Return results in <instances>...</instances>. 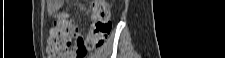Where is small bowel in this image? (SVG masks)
Returning <instances> with one entry per match:
<instances>
[{"label": "small bowel", "instance_id": "c3829d8e", "mask_svg": "<svg viewBox=\"0 0 225 58\" xmlns=\"http://www.w3.org/2000/svg\"><path fill=\"white\" fill-rule=\"evenodd\" d=\"M61 6V2L58 0H49L48 1V10L54 11L57 10Z\"/></svg>", "mask_w": 225, "mask_h": 58}]
</instances>
